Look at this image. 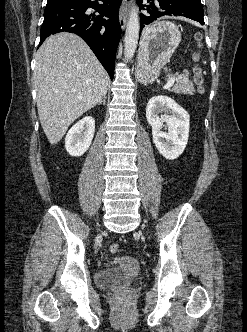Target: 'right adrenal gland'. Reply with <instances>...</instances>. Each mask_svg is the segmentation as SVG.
Returning a JSON list of instances; mask_svg holds the SVG:
<instances>
[{
	"label": "right adrenal gland",
	"instance_id": "right-adrenal-gland-1",
	"mask_svg": "<svg viewBox=\"0 0 247 332\" xmlns=\"http://www.w3.org/2000/svg\"><path fill=\"white\" fill-rule=\"evenodd\" d=\"M100 103H103V105L106 104V96L103 97L102 101H100Z\"/></svg>",
	"mask_w": 247,
	"mask_h": 332
}]
</instances>
